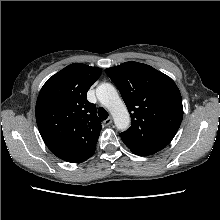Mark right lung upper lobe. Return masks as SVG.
Returning <instances> with one entry per match:
<instances>
[{"mask_svg":"<svg viewBox=\"0 0 220 220\" xmlns=\"http://www.w3.org/2000/svg\"><path fill=\"white\" fill-rule=\"evenodd\" d=\"M101 69L73 63L43 85L36 102V121L41 137L58 158L80 163L91 157L101 131L96 106L87 91Z\"/></svg>","mask_w":220,"mask_h":220,"instance_id":"obj_1","label":"right lung upper lobe"}]
</instances>
